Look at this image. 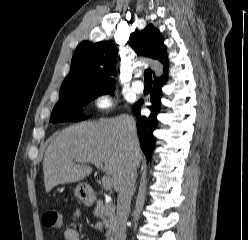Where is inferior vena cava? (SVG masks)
I'll return each mask as SVG.
<instances>
[{
  "label": "inferior vena cava",
  "instance_id": "obj_1",
  "mask_svg": "<svg viewBox=\"0 0 248 240\" xmlns=\"http://www.w3.org/2000/svg\"><path fill=\"white\" fill-rule=\"evenodd\" d=\"M129 138L133 144L137 138L135 125L130 128ZM137 172V163L134 155L131 153L127 167L118 185V200H117V240H126V222L130 212V204L134 192L135 179Z\"/></svg>",
  "mask_w": 248,
  "mask_h": 240
}]
</instances>
